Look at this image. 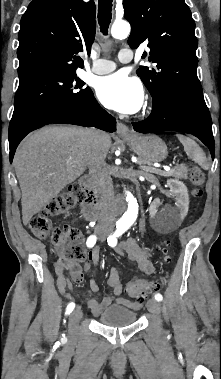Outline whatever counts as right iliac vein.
<instances>
[{
    "instance_id": "obj_1",
    "label": "right iliac vein",
    "mask_w": 221,
    "mask_h": 379,
    "mask_svg": "<svg viewBox=\"0 0 221 379\" xmlns=\"http://www.w3.org/2000/svg\"><path fill=\"white\" fill-rule=\"evenodd\" d=\"M82 310L78 307L69 316V331L71 336H74L77 331V326L82 318Z\"/></svg>"
}]
</instances>
